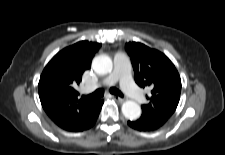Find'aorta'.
Instances as JSON below:
<instances>
[{
	"label": "aorta",
	"instance_id": "aorta-1",
	"mask_svg": "<svg viewBox=\"0 0 225 155\" xmlns=\"http://www.w3.org/2000/svg\"><path fill=\"white\" fill-rule=\"evenodd\" d=\"M92 68L97 74L105 75L112 71L113 63L109 56L98 55L92 61ZM121 109L124 117L129 120H136L141 115V107L135 101H125Z\"/></svg>",
	"mask_w": 225,
	"mask_h": 155
}]
</instances>
